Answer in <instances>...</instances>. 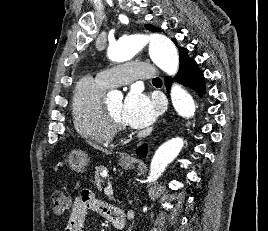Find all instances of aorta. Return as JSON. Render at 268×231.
<instances>
[{"mask_svg": "<svg viewBox=\"0 0 268 231\" xmlns=\"http://www.w3.org/2000/svg\"><path fill=\"white\" fill-rule=\"evenodd\" d=\"M149 42V55L152 61L168 75H175L179 68L178 51L174 43L164 35L125 36L110 44L107 55L110 60L124 62L132 59ZM110 99H122L119 91H111ZM171 100L176 112L183 118H191L195 114V104L192 97L179 84L171 88ZM183 138H172L163 143L155 152L148 176L149 182H155L180 153L183 148Z\"/></svg>", "mask_w": 268, "mask_h": 231, "instance_id": "aorta-1", "label": "aorta"}]
</instances>
